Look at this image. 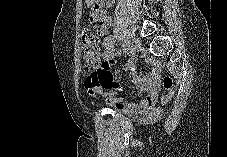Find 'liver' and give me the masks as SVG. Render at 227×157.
I'll list each match as a JSON object with an SVG mask.
<instances>
[{
    "label": "liver",
    "instance_id": "1",
    "mask_svg": "<svg viewBox=\"0 0 227 157\" xmlns=\"http://www.w3.org/2000/svg\"><path fill=\"white\" fill-rule=\"evenodd\" d=\"M92 2H93L92 0H91V1L88 0V1H87V4L90 5Z\"/></svg>",
    "mask_w": 227,
    "mask_h": 157
}]
</instances>
